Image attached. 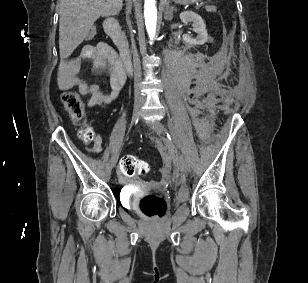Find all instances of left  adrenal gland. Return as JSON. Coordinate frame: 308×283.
Wrapping results in <instances>:
<instances>
[{"instance_id": "a2214340", "label": "left adrenal gland", "mask_w": 308, "mask_h": 283, "mask_svg": "<svg viewBox=\"0 0 308 283\" xmlns=\"http://www.w3.org/2000/svg\"><path fill=\"white\" fill-rule=\"evenodd\" d=\"M161 5L164 8V19L171 21L173 19V12L176 11V8L170 6V0H161Z\"/></svg>"}]
</instances>
